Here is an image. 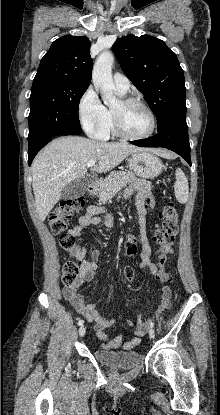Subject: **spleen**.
Masks as SVG:
<instances>
[{
	"mask_svg": "<svg viewBox=\"0 0 220 415\" xmlns=\"http://www.w3.org/2000/svg\"><path fill=\"white\" fill-rule=\"evenodd\" d=\"M176 182L174 184L175 196L178 202L186 203L188 200L189 186L184 172L178 168L176 170Z\"/></svg>",
	"mask_w": 220,
	"mask_h": 415,
	"instance_id": "spleen-1",
	"label": "spleen"
}]
</instances>
